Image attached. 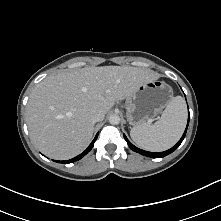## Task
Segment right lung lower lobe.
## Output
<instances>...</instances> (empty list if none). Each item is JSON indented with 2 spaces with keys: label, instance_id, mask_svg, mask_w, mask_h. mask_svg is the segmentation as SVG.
Masks as SVG:
<instances>
[{
  "label": "right lung lower lobe",
  "instance_id": "obj_1",
  "mask_svg": "<svg viewBox=\"0 0 221 221\" xmlns=\"http://www.w3.org/2000/svg\"><path fill=\"white\" fill-rule=\"evenodd\" d=\"M97 136H98V134L95 136L94 140L91 142V144L88 146V148L84 152L79 154L78 156H76V157H74V158H72L70 160L56 161V162H58V163L61 162L63 164H68V163H73V162H76V161L80 160L82 157H84L93 148L94 142L96 141Z\"/></svg>",
  "mask_w": 221,
  "mask_h": 221
}]
</instances>
